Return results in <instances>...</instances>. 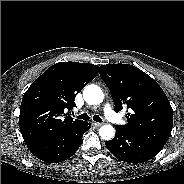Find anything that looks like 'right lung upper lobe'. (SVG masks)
I'll use <instances>...</instances> for the list:
<instances>
[{
    "instance_id": "cb5924a9",
    "label": "right lung upper lobe",
    "mask_w": 184,
    "mask_h": 184,
    "mask_svg": "<svg viewBox=\"0 0 184 184\" xmlns=\"http://www.w3.org/2000/svg\"><path fill=\"white\" fill-rule=\"evenodd\" d=\"M89 63L59 62L40 75L25 92L19 126L27 144L67 133L85 121L73 120L65 112L75 105V96L98 74Z\"/></svg>"
}]
</instances>
